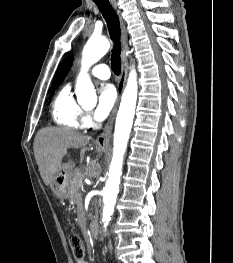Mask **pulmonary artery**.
I'll return each instance as SVG.
<instances>
[{"label":"pulmonary artery","instance_id":"obj_1","mask_svg":"<svg viewBox=\"0 0 233 263\" xmlns=\"http://www.w3.org/2000/svg\"><path fill=\"white\" fill-rule=\"evenodd\" d=\"M91 74L101 80L110 78V69L106 64H97L91 69Z\"/></svg>","mask_w":233,"mask_h":263}]
</instances>
